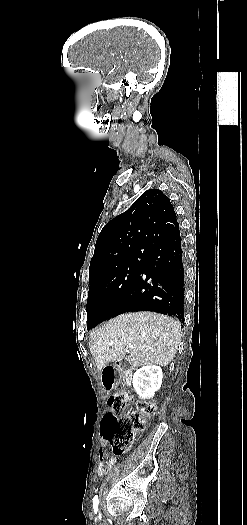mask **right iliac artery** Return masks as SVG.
<instances>
[{
  "instance_id": "obj_1",
  "label": "right iliac artery",
  "mask_w": 247,
  "mask_h": 525,
  "mask_svg": "<svg viewBox=\"0 0 247 525\" xmlns=\"http://www.w3.org/2000/svg\"><path fill=\"white\" fill-rule=\"evenodd\" d=\"M98 504H99V500H98V496L96 495L93 498V508H94V512L95 513H97V511H98Z\"/></svg>"
}]
</instances>
